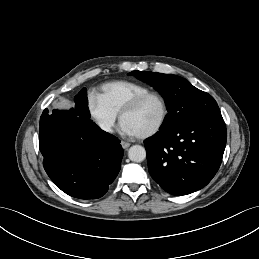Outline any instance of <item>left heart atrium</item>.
<instances>
[{
    "mask_svg": "<svg viewBox=\"0 0 259 259\" xmlns=\"http://www.w3.org/2000/svg\"><path fill=\"white\" fill-rule=\"evenodd\" d=\"M121 133L126 136H137V131L127 122L122 121L120 125Z\"/></svg>",
    "mask_w": 259,
    "mask_h": 259,
    "instance_id": "obj_1",
    "label": "left heart atrium"
}]
</instances>
